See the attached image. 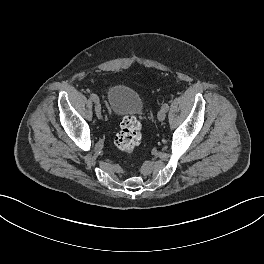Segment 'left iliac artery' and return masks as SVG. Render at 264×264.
I'll return each mask as SVG.
<instances>
[{"mask_svg":"<svg viewBox=\"0 0 264 264\" xmlns=\"http://www.w3.org/2000/svg\"><path fill=\"white\" fill-rule=\"evenodd\" d=\"M162 108L165 110V111H168L169 109V105L167 103L163 104L162 105Z\"/></svg>","mask_w":264,"mask_h":264,"instance_id":"obj_1","label":"left iliac artery"}]
</instances>
